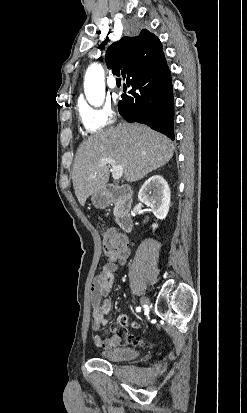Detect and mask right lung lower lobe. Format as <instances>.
Here are the masks:
<instances>
[{
    "label": "right lung lower lobe",
    "instance_id": "right-lung-lower-lobe-1",
    "mask_svg": "<svg viewBox=\"0 0 247 413\" xmlns=\"http://www.w3.org/2000/svg\"><path fill=\"white\" fill-rule=\"evenodd\" d=\"M133 89L118 103L120 115L128 122L148 125L174 140V101L171 74L166 62L138 76L127 77Z\"/></svg>",
    "mask_w": 247,
    "mask_h": 413
}]
</instances>
